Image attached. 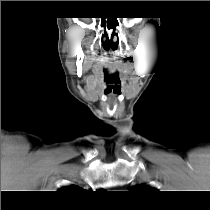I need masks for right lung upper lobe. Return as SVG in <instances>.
I'll list each match as a JSON object with an SVG mask.
<instances>
[{
  "label": "right lung upper lobe",
  "instance_id": "1",
  "mask_svg": "<svg viewBox=\"0 0 210 210\" xmlns=\"http://www.w3.org/2000/svg\"><path fill=\"white\" fill-rule=\"evenodd\" d=\"M77 189H79V188L76 187V186H68V187L61 188V191H63V192H69V191L77 190Z\"/></svg>",
  "mask_w": 210,
  "mask_h": 210
}]
</instances>
